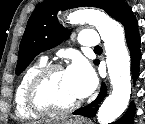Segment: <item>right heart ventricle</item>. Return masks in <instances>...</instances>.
I'll return each instance as SVG.
<instances>
[{
	"label": "right heart ventricle",
	"instance_id": "e07e8e85",
	"mask_svg": "<svg viewBox=\"0 0 145 124\" xmlns=\"http://www.w3.org/2000/svg\"><path fill=\"white\" fill-rule=\"evenodd\" d=\"M46 65L45 59H40L33 65H31L22 75L16 91H15V106L16 113L21 118H33L38 117L39 114L31 112L26 106V91L27 87L34 77V75Z\"/></svg>",
	"mask_w": 145,
	"mask_h": 124
}]
</instances>
